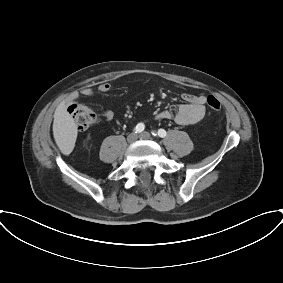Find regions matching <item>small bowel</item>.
<instances>
[{"mask_svg": "<svg viewBox=\"0 0 283 283\" xmlns=\"http://www.w3.org/2000/svg\"><path fill=\"white\" fill-rule=\"evenodd\" d=\"M97 90L102 94L107 93L111 90V85L107 82L101 83ZM79 95L91 98L94 95V91L91 88L85 87L80 90L79 94H73L72 100L76 101ZM182 99L184 103L178 106L175 115L169 110H163L157 113V118L162 120L174 118L175 122L180 125H193L201 121L205 115L206 96L184 93L182 94ZM101 116L106 121H112L115 115L113 111L105 110L101 113Z\"/></svg>", "mask_w": 283, "mask_h": 283, "instance_id": "c3829d8e", "label": "small bowel"}]
</instances>
